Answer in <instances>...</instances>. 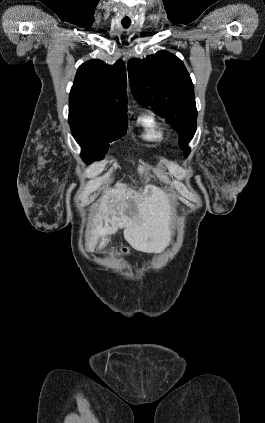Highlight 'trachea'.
Returning <instances> with one entry per match:
<instances>
[{"label":"trachea","instance_id":"obj_1","mask_svg":"<svg viewBox=\"0 0 265 423\" xmlns=\"http://www.w3.org/2000/svg\"><path fill=\"white\" fill-rule=\"evenodd\" d=\"M130 24H131V22H128V21H122V26H123L124 28H128V27L130 26Z\"/></svg>","mask_w":265,"mask_h":423}]
</instances>
